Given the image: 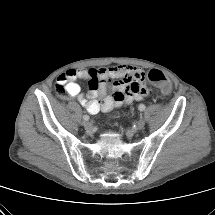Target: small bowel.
Returning a JSON list of instances; mask_svg holds the SVG:
<instances>
[{"instance_id": "obj_1", "label": "small bowel", "mask_w": 215, "mask_h": 215, "mask_svg": "<svg viewBox=\"0 0 215 215\" xmlns=\"http://www.w3.org/2000/svg\"><path fill=\"white\" fill-rule=\"evenodd\" d=\"M88 80L89 89L84 96L76 82ZM114 80L109 87V81ZM145 72L133 65H118L103 68L69 69L59 75L57 82L65 85L67 94L75 97L90 114L108 112L144 99L148 94ZM137 86L138 90L133 87ZM111 93L108 94V90Z\"/></svg>"}]
</instances>
